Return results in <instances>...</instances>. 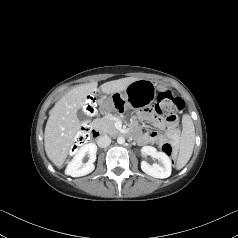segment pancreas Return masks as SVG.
<instances>
[{
    "instance_id": "obj_1",
    "label": "pancreas",
    "mask_w": 238,
    "mask_h": 238,
    "mask_svg": "<svg viewBox=\"0 0 238 238\" xmlns=\"http://www.w3.org/2000/svg\"><path fill=\"white\" fill-rule=\"evenodd\" d=\"M114 124L115 118L112 115H106L103 118H97L93 122L95 129L99 130L102 133H107L110 135L118 133V130L115 128Z\"/></svg>"
}]
</instances>
